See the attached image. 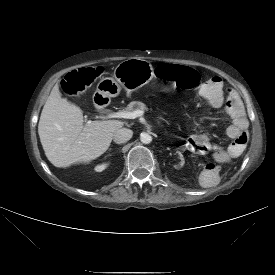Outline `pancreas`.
<instances>
[{
  "label": "pancreas",
  "instance_id": "pancreas-1",
  "mask_svg": "<svg viewBox=\"0 0 275 275\" xmlns=\"http://www.w3.org/2000/svg\"><path fill=\"white\" fill-rule=\"evenodd\" d=\"M136 110L147 111L148 107L143 102L132 101L128 104V106L125 109V111H127V112H133Z\"/></svg>",
  "mask_w": 275,
  "mask_h": 275
}]
</instances>
